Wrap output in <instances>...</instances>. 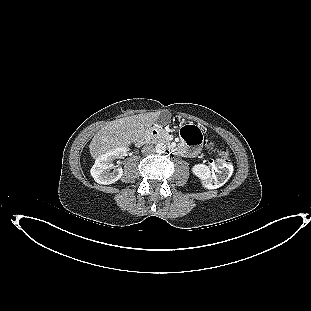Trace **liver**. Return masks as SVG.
I'll return each instance as SVG.
<instances>
[{"mask_svg": "<svg viewBox=\"0 0 311 311\" xmlns=\"http://www.w3.org/2000/svg\"><path fill=\"white\" fill-rule=\"evenodd\" d=\"M159 114L149 112L109 122L92 138L89 145L91 157L97 159L110 150L137 141L154 124Z\"/></svg>", "mask_w": 311, "mask_h": 311, "instance_id": "6515ba94", "label": "liver"}]
</instances>
